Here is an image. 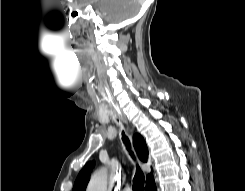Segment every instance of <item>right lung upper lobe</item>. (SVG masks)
Segmentation results:
<instances>
[{
	"label": "right lung upper lobe",
	"instance_id": "right-lung-upper-lobe-1",
	"mask_svg": "<svg viewBox=\"0 0 245 191\" xmlns=\"http://www.w3.org/2000/svg\"><path fill=\"white\" fill-rule=\"evenodd\" d=\"M134 147L137 151V154L141 161L147 162L148 158V148L147 145L143 139V137L139 134H135L133 137ZM94 162H88L84 168L80 171L78 174L73 190L72 191H85L86 186L88 184L91 169L93 167ZM151 178H153L152 174L147 176V181H149Z\"/></svg>",
	"mask_w": 245,
	"mask_h": 191
}]
</instances>
